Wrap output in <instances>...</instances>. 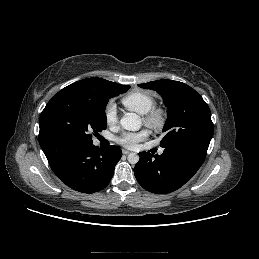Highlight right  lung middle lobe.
<instances>
[{"instance_id": "obj_1", "label": "right lung middle lobe", "mask_w": 259, "mask_h": 259, "mask_svg": "<svg viewBox=\"0 0 259 259\" xmlns=\"http://www.w3.org/2000/svg\"><path fill=\"white\" fill-rule=\"evenodd\" d=\"M129 88L113 83L98 93L67 88L60 90L40 116L39 143L42 150L61 142H92V134H98L107 127L105 108L108 100Z\"/></svg>"}]
</instances>
